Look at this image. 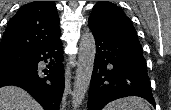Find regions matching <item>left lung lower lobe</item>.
I'll list each match as a JSON object with an SVG mask.
<instances>
[{
    "label": "left lung lower lobe",
    "instance_id": "obj_1",
    "mask_svg": "<svg viewBox=\"0 0 171 110\" xmlns=\"http://www.w3.org/2000/svg\"><path fill=\"white\" fill-rule=\"evenodd\" d=\"M88 23L96 42L88 110H101L126 96L142 97L155 106L142 48L110 35L91 20Z\"/></svg>",
    "mask_w": 171,
    "mask_h": 110
}]
</instances>
